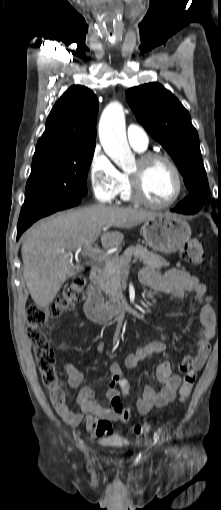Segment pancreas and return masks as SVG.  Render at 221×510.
Instances as JSON below:
<instances>
[{"mask_svg":"<svg viewBox=\"0 0 221 510\" xmlns=\"http://www.w3.org/2000/svg\"><path fill=\"white\" fill-rule=\"evenodd\" d=\"M132 257H134L135 260H139L144 265L157 270L169 266V263L165 259L149 251L146 247L140 244L131 246L127 248L121 256L114 255L111 257L109 263L104 264L100 286L106 294L110 296L121 295L122 273L129 269V262Z\"/></svg>","mask_w":221,"mask_h":510,"instance_id":"obj_1","label":"pancreas"}]
</instances>
